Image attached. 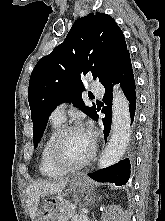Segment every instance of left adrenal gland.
Returning <instances> with one entry per match:
<instances>
[{"mask_svg": "<svg viewBox=\"0 0 165 221\" xmlns=\"http://www.w3.org/2000/svg\"><path fill=\"white\" fill-rule=\"evenodd\" d=\"M92 200V198H90V200L89 201H91ZM93 203H94V201H92Z\"/></svg>", "mask_w": 165, "mask_h": 221, "instance_id": "1", "label": "left adrenal gland"}]
</instances>
